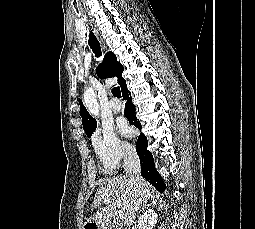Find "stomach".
<instances>
[{
  "mask_svg": "<svg viewBox=\"0 0 255 229\" xmlns=\"http://www.w3.org/2000/svg\"><path fill=\"white\" fill-rule=\"evenodd\" d=\"M89 224H91V223H93V222H88ZM93 228L94 229H105V228H103V226L102 225H97L96 223H93Z\"/></svg>",
  "mask_w": 255,
  "mask_h": 229,
  "instance_id": "1",
  "label": "stomach"
}]
</instances>
